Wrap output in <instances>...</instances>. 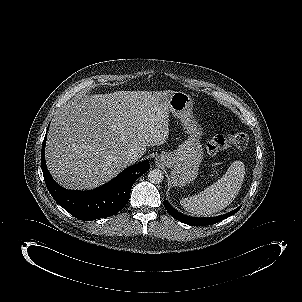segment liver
<instances>
[{
	"label": "liver",
	"instance_id": "6515ba94",
	"mask_svg": "<svg viewBox=\"0 0 302 302\" xmlns=\"http://www.w3.org/2000/svg\"><path fill=\"white\" fill-rule=\"evenodd\" d=\"M175 91H117L74 100L54 116L45 157L53 178L67 189L100 186L169 135V99Z\"/></svg>",
	"mask_w": 302,
	"mask_h": 302
}]
</instances>
